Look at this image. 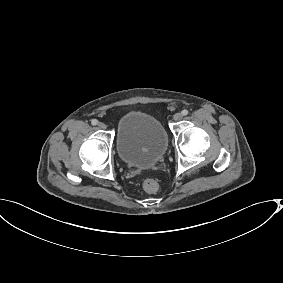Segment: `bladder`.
Instances as JSON below:
<instances>
[{"label":"bladder","instance_id":"bladder-1","mask_svg":"<svg viewBox=\"0 0 283 283\" xmlns=\"http://www.w3.org/2000/svg\"><path fill=\"white\" fill-rule=\"evenodd\" d=\"M116 151L126 164L150 166L162 158L168 146V135L161 121L151 114L129 111L115 127Z\"/></svg>","mask_w":283,"mask_h":283}]
</instances>
